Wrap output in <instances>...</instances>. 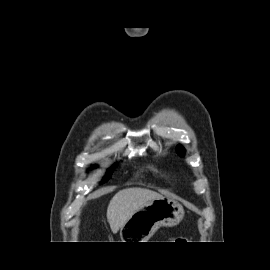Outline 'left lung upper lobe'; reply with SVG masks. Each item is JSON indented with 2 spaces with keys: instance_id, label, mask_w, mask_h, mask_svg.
Wrapping results in <instances>:
<instances>
[{
  "instance_id": "1",
  "label": "left lung upper lobe",
  "mask_w": 270,
  "mask_h": 270,
  "mask_svg": "<svg viewBox=\"0 0 270 270\" xmlns=\"http://www.w3.org/2000/svg\"><path fill=\"white\" fill-rule=\"evenodd\" d=\"M176 150L180 156L184 155V148L181 145H178Z\"/></svg>"
}]
</instances>
